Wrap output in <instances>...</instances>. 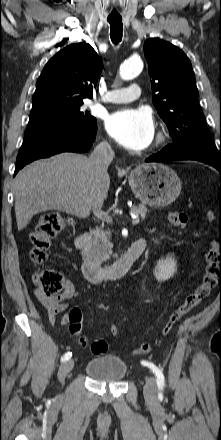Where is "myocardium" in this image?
I'll return each instance as SVG.
<instances>
[{"mask_svg":"<svg viewBox=\"0 0 221 440\" xmlns=\"http://www.w3.org/2000/svg\"><path fill=\"white\" fill-rule=\"evenodd\" d=\"M167 139V133L164 129H158L153 141V148H159L163 146Z\"/></svg>","mask_w":221,"mask_h":440,"instance_id":"obj_1","label":"myocardium"}]
</instances>
